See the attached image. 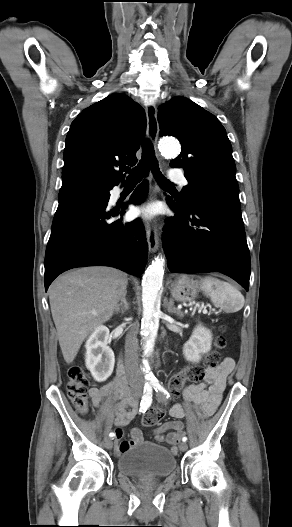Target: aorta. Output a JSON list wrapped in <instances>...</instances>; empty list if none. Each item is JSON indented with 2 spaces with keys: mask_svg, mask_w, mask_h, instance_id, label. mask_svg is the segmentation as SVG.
Instances as JSON below:
<instances>
[{
  "mask_svg": "<svg viewBox=\"0 0 292 527\" xmlns=\"http://www.w3.org/2000/svg\"><path fill=\"white\" fill-rule=\"evenodd\" d=\"M161 152L166 156H177L181 147L178 141L172 138H164L159 144ZM164 269L163 259L155 258L147 268L142 279V305L143 317L141 322L142 350L144 354L143 370L146 373V379L154 380L150 372L146 356L152 353L154 341L159 327L160 314V288L162 286Z\"/></svg>",
  "mask_w": 292,
  "mask_h": 527,
  "instance_id": "aorta-1",
  "label": "aorta"
}]
</instances>
